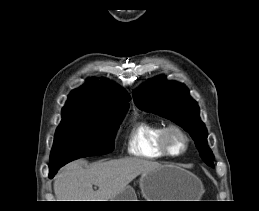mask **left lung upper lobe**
Returning a JSON list of instances; mask_svg holds the SVG:
<instances>
[{
    "mask_svg": "<svg viewBox=\"0 0 259 211\" xmlns=\"http://www.w3.org/2000/svg\"><path fill=\"white\" fill-rule=\"evenodd\" d=\"M133 98L139 108L163 116L189 132L202 160L214 167V155L207 145V130L199 117V107L184 84L167 82L161 76L141 86Z\"/></svg>",
    "mask_w": 259,
    "mask_h": 211,
    "instance_id": "5c2ea615",
    "label": "left lung upper lobe"
}]
</instances>
